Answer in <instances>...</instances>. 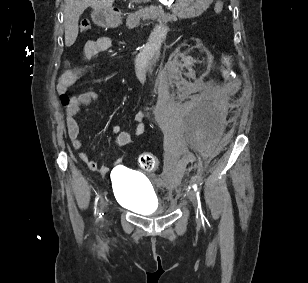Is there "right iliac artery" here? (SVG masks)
Returning a JSON list of instances; mask_svg holds the SVG:
<instances>
[{
    "mask_svg": "<svg viewBox=\"0 0 308 283\" xmlns=\"http://www.w3.org/2000/svg\"><path fill=\"white\" fill-rule=\"evenodd\" d=\"M100 197H98L96 199V208H95V214H97L98 218H101L103 215V200L100 199V201L98 202V199Z\"/></svg>",
    "mask_w": 308,
    "mask_h": 283,
    "instance_id": "1",
    "label": "right iliac artery"
}]
</instances>
